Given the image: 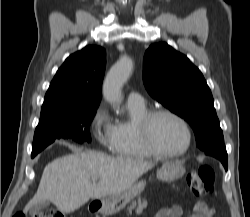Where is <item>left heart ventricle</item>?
<instances>
[{"instance_id":"obj_1","label":"left heart ventricle","mask_w":250,"mask_h":217,"mask_svg":"<svg viewBox=\"0 0 250 217\" xmlns=\"http://www.w3.org/2000/svg\"><path fill=\"white\" fill-rule=\"evenodd\" d=\"M152 134L156 145L164 152H176L187 143L183 126L169 116H158L152 124Z\"/></svg>"}]
</instances>
